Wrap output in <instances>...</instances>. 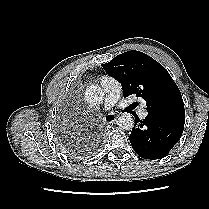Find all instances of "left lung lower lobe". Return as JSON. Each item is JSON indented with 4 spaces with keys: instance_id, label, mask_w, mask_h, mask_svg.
<instances>
[{
    "instance_id": "1",
    "label": "left lung lower lobe",
    "mask_w": 209,
    "mask_h": 209,
    "mask_svg": "<svg viewBox=\"0 0 209 209\" xmlns=\"http://www.w3.org/2000/svg\"><path fill=\"white\" fill-rule=\"evenodd\" d=\"M135 118L129 139L134 151L143 159L156 160L165 157L183 133L184 124L150 115L144 120Z\"/></svg>"
}]
</instances>
